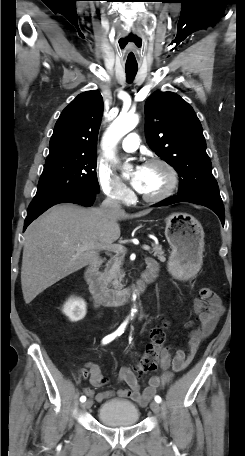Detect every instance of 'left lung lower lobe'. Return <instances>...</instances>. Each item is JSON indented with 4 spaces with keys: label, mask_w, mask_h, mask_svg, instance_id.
<instances>
[{
    "label": "left lung lower lobe",
    "mask_w": 245,
    "mask_h": 456,
    "mask_svg": "<svg viewBox=\"0 0 245 456\" xmlns=\"http://www.w3.org/2000/svg\"><path fill=\"white\" fill-rule=\"evenodd\" d=\"M178 202H191L195 203L198 205H203L205 207H208L209 209L213 210L220 218L222 225L224 226V221H225V213H224V206L223 204L211 202V201H204V200H192V199H187L179 196H172L170 198H167L154 206H167L171 205L174 203Z\"/></svg>",
    "instance_id": "1"
}]
</instances>
